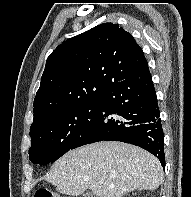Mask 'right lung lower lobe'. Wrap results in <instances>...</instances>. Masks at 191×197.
<instances>
[{"label": "right lung lower lobe", "instance_id": "obj_1", "mask_svg": "<svg viewBox=\"0 0 191 197\" xmlns=\"http://www.w3.org/2000/svg\"><path fill=\"white\" fill-rule=\"evenodd\" d=\"M97 102L96 116L71 149L98 141L126 142L149 151L165 167L164 133L148 66L109 86Z\"/></svg>", "mask_w": 191, "mask_h": 197}]
</instances>
